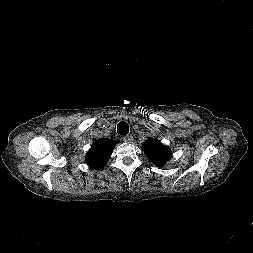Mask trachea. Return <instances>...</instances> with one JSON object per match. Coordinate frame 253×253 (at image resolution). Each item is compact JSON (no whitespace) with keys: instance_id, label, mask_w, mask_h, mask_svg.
<instances>
[{"instance_id":"3493384b","label":"trachea","mask_w":253,"mask_h":253,"mask_svg":"<svg viewBox=\"0 0 253 253\" xmlns=\"http://www.w3.org/2000/svg\"><path fill=\"white\" fill-rule=\"evenodd\" d=\"M117 132L120 135H127L129 133V126L126 122H119L117 125Z\"/></svg>"}]
</instances>
